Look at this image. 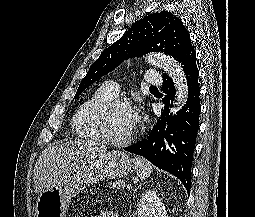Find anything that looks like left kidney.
Returning <instances> with one entry per match:
<instances>
[{
    "instance_id": "5707ae66",
    "label": "left kidney",
    "mask_w": 255,
    "mask_h": 217,
    "mask_svg": "<svg viewBox=\"0 0 255 217\" xmlns=\"http://www.w3.org/2000/svg\"><path fill=\"white\" fill-rule=\"evenodd\" d=\"M138 217H167L165 206L156 191L148 190L142 194Z\"/></svg>"
}]
</instances>
